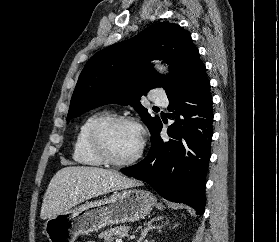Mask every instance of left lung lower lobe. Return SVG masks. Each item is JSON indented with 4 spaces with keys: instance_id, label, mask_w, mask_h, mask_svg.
Segmentation results:
<instances>
[{
    "instance_id": "1",
    "label": "left lung lower lobe",
    "mask_w": 279,
    "mask_h": 242,
    "mask_svg": "<svg viewBox=\"0 0 279 242\" xmlns=\"http://www.w3.org/2000/svg\"><path fill=\"white\" fill-rule=\"evenodd\" d=\"M169 138L162 139V123L151 133V148L141 162L121 169L127 176L150 184L162 197L205 211V183L210 160L213 109L210 82L199 51L180 83L167 94Z\"/></svg>"
}]
</instances>
